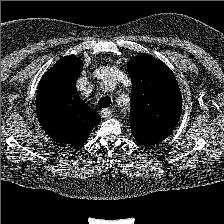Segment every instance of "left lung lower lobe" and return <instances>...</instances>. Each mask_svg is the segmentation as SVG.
I'll return each mask as SVG.
<instances>
[{"mask_svg": "<svg viewBox=\"0 0 224 224\" xmlns=\"http://www.w3.org/2000/svg\"><path fill=\"white\" fill-rule=\"evenodd\" d=\"M135 140L142 145H152V141H149V138L144 137V135L133 133Z\"/></svg>", "mask_w": 224, "mask_h": 224, "instance_id": "0a47b994", "label": "left lung lower lobe"}]
</instances>
